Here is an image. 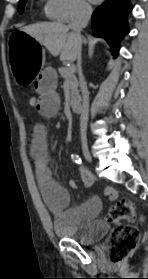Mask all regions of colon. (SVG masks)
I'll list each match as a JSON object with an SVG mask.
<instances>
[{"label": "colon", "instance_id": "obj_1", "mask_svg": "<svg viewBox=\"0 0 148 279\" xmlns=\"http://www.w3.org/2000/svg\"><path fill=\"white\" fill-rule=\"evenodd\" d=\"M31 108L38 105V97L30 96L27 100ZM105 220L117 225L112 233L111 258L115 263L125 260L137 247L140 237L139 229L134 225L136 213L134 204L127 199L118 201L112 206Z\"/></svg>", "mask_w": 148, "mask_h": 279}]
</instances>
